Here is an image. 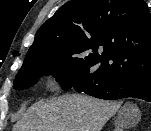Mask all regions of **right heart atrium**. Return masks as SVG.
<instances>
[{
  "mask_svg": "<svg viewBox=\"0 0 151 131\" xmlns=\"http://www.w3.org/2000/svg\"><path fill=\"white\" fill-rule=\"evenodd\" d=\"M48 84L51 85V86H54L55 85V81L52 78H50L48 80Z\"/></svg>",
  "mask_w": 151,
  "mask_h": 131,
  "instance_id": "d8ad5b80",
  "label": "right heart atrium"
}]
</instances>
